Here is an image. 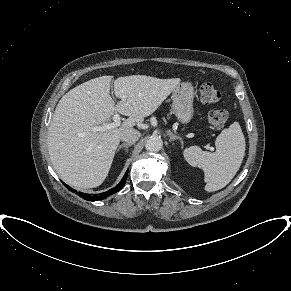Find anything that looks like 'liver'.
Returning a JSON list of instances; mask_svg holds the SVG:
<instances>
[{"label":"liver","mask_w":291,"mask_h":291,"mask_svg":"<svg viewBox=\"0 0 291 291\" xmlns=\"http://www.w3.org/2000/svg\"><path fill=\"white\" fill-rule=\"evenodd\" d=\"M112 76L91 79L66 93L56 106L48 131V151L54 169L67 184L94 188L107 177L121 134L154 113L180 84L179 78L159 79L131 75L114 80V105L110 96ZM118 112L128 116L121 125L103 132Z\"/></svg>","instance_id":"obj_1"}]
</instances>
